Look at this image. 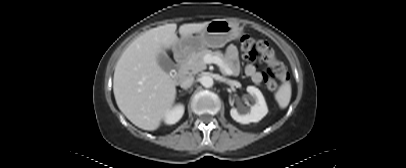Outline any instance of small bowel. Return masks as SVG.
Masks as SVG:
<instances>
[{
	"instance_id": "small-bowel-1",
	"label": "small bowel",
	"mask_w": 406,
	"mask_h": 168,
	"mask_svg": "<svg viewBox=\"0 0 406 168\" xmlns=\"http://www.w3.org/2000/svg\"><path fill=\"white\" fill-rule=\"evenodd\" d=\"M226 59L229 63V69L233 74H237L239 71L238 66V49L234 45H230L227 47L225 52ZM245 73L252 79V81L256 84L262 82L263 76L262 74L255 68L254 65L248 64L245 67Z\"/></svg>"
}]
</instances>
